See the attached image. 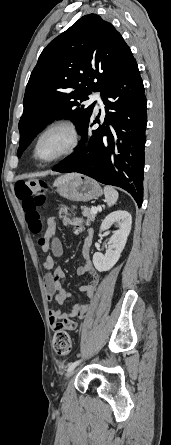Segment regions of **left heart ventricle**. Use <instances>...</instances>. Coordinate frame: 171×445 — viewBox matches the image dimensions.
Masks as SVG:
<instances>
[{"instance_id":"obj_1","label":"left heart ventricle","mask_w":171,"mask_h":445,"mask_svg":"<svg viewBox=\"0 0 171 445\" xmlns=\"http://www.w3.org/2000/svg\"><path fill=\"white\" fill-rule=\"evenodd\" d=\"M68 134L57 130L50 132L42 138L38 146V156L42 159L51 158L60 153L68 143Z\"/></svg>"}]
</instances>
